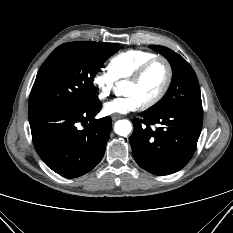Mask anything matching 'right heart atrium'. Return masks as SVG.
<instances>
[{
    "label": "right heart atrium",
    "mask_w": 233,
    "mask_h": 233,
    "mask_svg": "<svg viewBox=\"0 0 233 233\" xmlns=\"http://www.w3.org/2000/svg\"><path fill=\"white\" fill-rule=\"evenodd\" d=\"M93 85L98 90L99 97L104 99L109 97L112 93L115 79L109 70H99L93 76Z\"/></svg>",
    "instance_id": "right-heart-atrium-1"
}]
</instances>
